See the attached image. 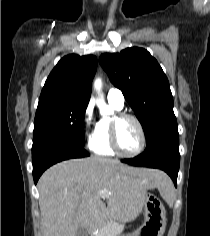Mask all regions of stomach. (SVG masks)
Listing matches in <instances>:
<instances>
[{"label": "stomach", "mask_w": 210, "mask_h": 236, "mask_svg": "<svg viewBox=\"0 0 210 236\" xmlns=\"http://www.w3.org/2000/svg\"><path fill=\"white\" fill-rule=\"evenodd\" d=\"M144 222L130 236H163L166 228L165 209L160 200L146 192L143 201Z\"/></svg>", "instance_id": "stomach-1"}]
</instances>
